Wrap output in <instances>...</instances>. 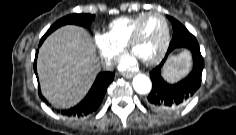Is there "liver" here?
I'll list each match as a JSON object with an SVG mask.
<instances>
[{
  "mask_svg": "<svg viewBox=\"0 0 236 135\" xmlns=\"http://www.w3.org/2000/svg\"><path fill=\"white\" fill-rule=\"evenodd\" d=\"M99 71L95 46L87 31L79 26L60 27L39 49L37 72L41 91L56 107L77 104Z\"/></svg>",
  "mask_w": 236,
  "mask_h": 135,
  "instance_id": "6515ba94",
  "label": "liver"
}]
</instances>
